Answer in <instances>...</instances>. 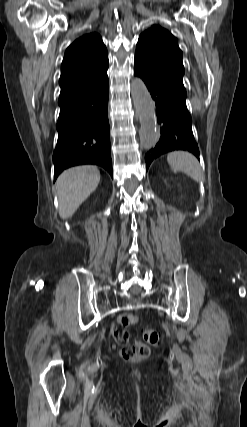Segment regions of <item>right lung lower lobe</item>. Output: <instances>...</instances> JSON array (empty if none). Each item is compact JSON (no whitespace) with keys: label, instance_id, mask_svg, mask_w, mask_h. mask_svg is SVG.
<instances>
[{"label":"right lung lower lobe","instance_id":"1","mask_svg":"<svg viewBox=\"0 0 247 427\" xmlns=\"http://www.w3.org/2000/svg\"><path fill=\"white\" fill-rule=\"evenodd\" d=\"M108 92L106 74L86 86L60 94L54 180L64 169L82 164L100 165L113 177Z\"/></svg>","mask_w":247,"mask_h":427}]
</instances>
